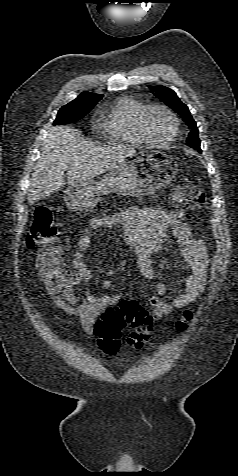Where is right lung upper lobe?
I'll list each match as a JSON object with an SVG mask.
<instances>
[{
  "mask_svg": "<svg viewBox=\"0 0 238 476\" xmlns=\"http://www.w3.org/2000/svg\"><path fill=\"white\" fill-rule=\"evenodd\" d=\"M102 94H93L90 92H82L75 100L71 101V104L75 105H96L102 98Z\"/></svg>",
  "mask_w": 238,
  "mask_h": 476,
  "instance_id": "1",
  "label": "right lung upper lobe"
}]
</instances>
